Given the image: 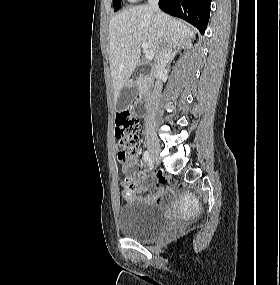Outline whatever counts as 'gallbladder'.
Returning <instances> with one entry per match:
<instances>
[{"label":"gallbladder","instance_id":"bac80fb5","mask_svg":"<svg viewBox=\"0 0 280 285\" xmlns=\"http://www.w3.org/2000/svg\"><path fill=\"white\" fill-rule=\"evenodd\" d=\"M137 96V85L135 83L126 84L120 92L116 101V110L123 111L135 100Z\"/></svg>","mask_w":280,"mask_h":285}]
</instances>
